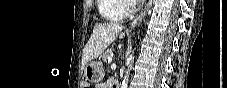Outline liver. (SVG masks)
Here are the masks:
<instances>
[{"label":"liver","instance_id":"liver-1","mask_svg":"<svg viewBox=\"0 0 227 88\" xmlns=\"http://www.w3.org/2000/svg\"><path fill=\"white\" fill-rule=\"evenodd\" d=\"M122 25L118 23H97L83 50V63L98 58L104 50L117 38L123 39Z\"/></svg>","mask_w":227,"mask_h":88}]
</instances>
